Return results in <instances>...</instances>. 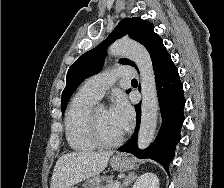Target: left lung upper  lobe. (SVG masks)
<instances>
[{
  "mask_svg": "<svg viewBox=\"0 0 224 188\" xmlns=\"http://www.w3.org/2000/svg\"><path fill=\"white\" fill-rule=\"evenodd\" d=\"M127 33L132 39L146 47L152 59L153 68L169 55L162 38L154 32V25L151 22L138 17L123 19L105 41L81 55L69 68L66 86L62 92V113L65 111L70 96L84 79L100 71L107 46ZM120 63L135 66L134 62L125 58L120 59Z\"/></svg>",
  "mask_w": 224,
  "mask_h": 188,
  "instance_id": "left-lung-upper-lobe-1",
  "label": "left lung upper lobe"
}]
</instances>
